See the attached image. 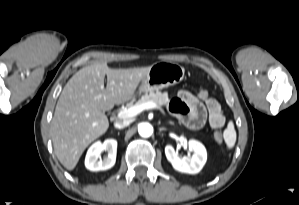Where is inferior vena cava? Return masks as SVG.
Listing matches in <instances>:
<instances>
[{
	"label": "inferior vena cava",
	"instance_id": "1",
	"mask_svg": "<svg viewBox=\"0 0 299 205\" xmlns=\"http://www.w3.org/2000/svg\"><path fill=\"white\" fill-rule=\"evenodd\" d=\"M130 124L129 120L117 121L114 123L115 128L122 129Z\"/></svg>",
	"mask_w": 299,
	"mask_h": 205
}]
</instances>
